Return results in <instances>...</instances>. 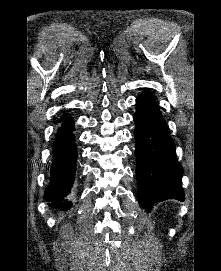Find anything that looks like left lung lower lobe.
<instances>
[{
  "instance_id": "0a47b994",
  "label": "left lung lower lobe",
  "mask_w": 221,
  "mask_h": 271,
  "mask_svg": "<svg viewBox=\"0 0 221 271\" xmlns=\"http://www.w3.org/2000/svg\"><path fill=\"white\" fill-rule=\"evenodd\" d=\"M136 106L134 137L140 206L150 211V207L163 200L184 201L183 168L157 102L149 92H144L136 99Z\"/></svg>"
}]
</instances>
